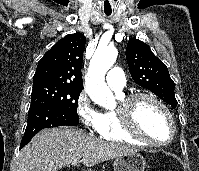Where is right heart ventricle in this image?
Here are the masks:
<instances>
[{
    "mask_svg": "<svg viewBox=\"0 0 199 171\" xmlns=\"http://www.w3.org/2000/svg\"><path fill=\"white\" fill-rule=\"evenodd\" d=\"M124 96L123 92H117L119 100H121ZM99 134L102 138L109 141L145 145V143L130 136L124 131L117 110L105 111L102 114V125L99 130Z\"/></svg>",
    "mask_w": 199,
    "mask_h": 171,
    "instance_id": "right-heart-ventricle-1",
    "label": "right heart ventricle"
}]
</instances>
